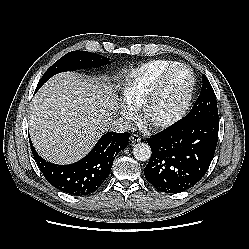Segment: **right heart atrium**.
<instances>
[{"instance_id":"d8ad5b80","label":"right heart atrium","mask_w":249,"mask_h":249,"mask_svg":"<svg viewBox=\"0 0 249 249\" xmlns=\"http://www.w3.org/2000/svg\"><path fill=\"white\" fill-rule=\"evenodd\" d=\"M120 112L126 120H132L134 118V112L127 106H121Z\"/></svg>"}]
</instances>
